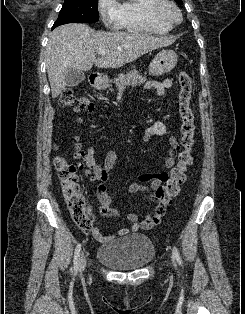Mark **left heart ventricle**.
<instances>
[{"instance_id": "left-heart-ventricle-1", "label": "left heart ventricle", "mask_w": 245, "mask_h": 314, "mask_svg": "<svg viewBox=\"0 0 245 314\" xmlns=\"http://www.w3.org/2000/svg\"><path fill=\"white\" fill-rule=\"evenodd\" d=\"M171 15L174 17V18H177V15L173 12H171Z\"/></svg>"}]
</instances>
